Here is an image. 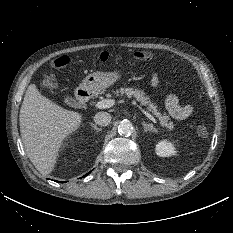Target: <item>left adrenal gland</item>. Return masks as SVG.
<instances>
[{
	"mask_svg": "<svg viewBox=\"0 0 233 233\" xmlns=\"http://www.w3.org/2000/svg\"><path fill=\"white\" fill-rule=\"evenodd\" d=\"M142 125L144 127V131L145 132H154V133H158V130L153 126V124L149 123L147 124L146 122H142Z\"/></svg>",
	"mask_w": 233,
	"mask_h": 233,
	"instance_id": "left-adrenal-gland-1",
	"label": "left adrenal gland"
}]
</instances>
